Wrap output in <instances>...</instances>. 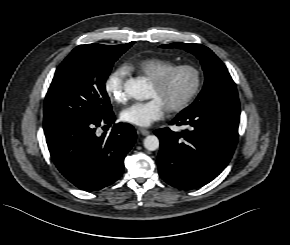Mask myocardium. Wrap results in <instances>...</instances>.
<instances>
[{
    "mask_svg": "<svg viewBox=\"0 0 290 245\" xmlns=\"http://www.w3.org/2000/svg\"><path fill=\"white\" fill-rule=\"evenodd\" d=\"M183 70L192 72L195 76V81L191 90L187 93V95L184 98H182L176 104L167 108V111L171 113H177L184 110L196 98L203 83L202 71L200 70L199 67L192 64H179V65L172 66L171 68L166 70L164 73H162L160 76H158L156 79L152 80V84L157 89L161 90L167 86V84L169 83L170 79L172 78L174 74Z\"/></svg>",
    "mask_w": 290,
    "mask_h": 245,
    "instance_id": "myocardium-1",
    "label": "myocardium"
}]
</instances>
